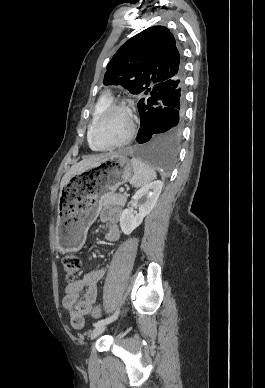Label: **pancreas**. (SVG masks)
Wrapping results in <instances>:
<instances>
[{
    "mask_svg": "<svg viewBox=\"0 0 265 388\" xmlns=\"http://www.w3.org/2000/svg\"><path fill=\"white\" fill-rule=\"evenodd\" d=\"M127 200L125 194H104L101 196V206H124Z\"/></svg>",
    "mask_w": 265,
    "mask_h": 388,
    "instance_id": "1",
    "label": "pancreas"
}]
</instances>
